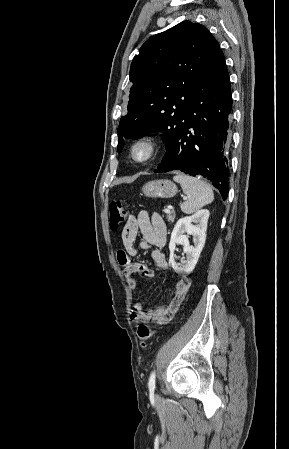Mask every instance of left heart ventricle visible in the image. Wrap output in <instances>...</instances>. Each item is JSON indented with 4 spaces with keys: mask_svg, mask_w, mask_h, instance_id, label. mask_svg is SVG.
<instances>
[{
    "mask_svg": "<svg viewBox=\"0 0 289 449\" xmlns=\"http://www.w3.org/2000/svg\"><path fill=\"white\" fill-rule=\"evenodd\" d=\"M145 155H146V149L145 148L141 147V148L137 149L136 156L138 158H143Z\"/></svg>",
    "mask_w": 289,
    "mask_h": 449,
    "instance_id": "left-heart-ventricle-1",
    "label": "left heart ventricle"
}]
</instances>
